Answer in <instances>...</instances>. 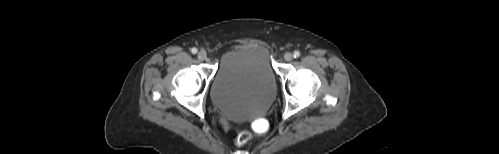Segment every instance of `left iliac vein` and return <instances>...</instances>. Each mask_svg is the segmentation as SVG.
Here are the masks:
<instances>
[{"label":"left iliac vein","instance_id":"left-iliac-vein-1","mask_svg":"<svg viewBox=\"0 0 499 154\" xmlns=\"http://www.w3.org/2000/svg\"><path fill=\"white\" fill-rule=\"evenodd\" d=\"M284 59H285L286 61H291V60L293 59V54H292V53H290V52H286V53L284 54Z\"/></svg>","mask_w":499,"mask_h":154}]
</instances>
